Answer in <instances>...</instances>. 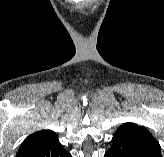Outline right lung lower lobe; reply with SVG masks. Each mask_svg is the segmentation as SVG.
<instances>
[{
	"instance_id": "obj_1",
	"label": "right lung lower lobe",
	"mask_w": 164,
	"mask_h": 157,
	"mask_svg": "<svg viewBox=\"0 0 164 157\" xmlns=\"http://www.w3.org/2000/svg\"><path fill=\"white\" fill-rule=\"evenodd\" d=\"M28 157H72V155L66 152L59 141L56 140L33 152Z\"/></svg>"
}]
</instances>
